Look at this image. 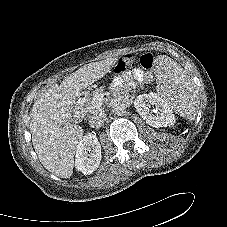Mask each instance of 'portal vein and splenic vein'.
Here are the masks:
<instances>
[{
    "mask_svg": "<svg viewBox=\"0 0 227 227\" xmlns=\"http://www.w3.org/2000/svg\"><path fill=\"white\" fill-rule=\"evenodd\" d=\"M98 100H99V101H102V99H101V98H99V97H98Z\"/></svg>",
    "mask_w": 227,
    "mask_h": 227,
    "instance_id": "portal-vein-and-splenic-vein-1",
    "label": "portal vein and splenic vein"
}]
</instances>
